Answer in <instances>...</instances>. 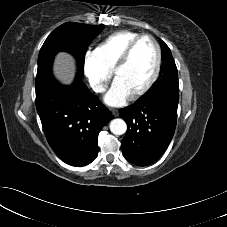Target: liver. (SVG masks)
Here are the masks:
<instances>
[{
    "label": "liver",
    "mask_w": 227,
    "mask_h": 227,
    "mask_svg": "<svg viewBox=\"0 0 227 227\" xmlns=\"http://www.w3.org/2000/svg\"><path fill=\"white\" fill-rule=\"evenodd\" d=\"M54 76L62 83L69 84L75 74L74 59L70 54L59 53L55 59Z\"/></svg>",
    "instance_id": "1"
}]
</instances>
